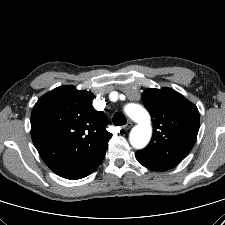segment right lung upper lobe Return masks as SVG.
Returning <instances> with one entry per match:
<instances>
[{
    "mask_svg": "<svg viewBox=\"0 0 225 225\" xmlns=\"http://www.w3.org/2000/svg\"><path fill=\"white\" fill-rule=\"evenodd\" d=\"M94 95L60 86L40 97L31 115V136L41 158L57 175L81 179L102 162L112 133L92 106Z\"/></svg>",
    "mask_w": 225,
    "mask_h": 225,
    "instance_id": "cb5924a9",
    "label": "right lung upper lobe"
}]
</instances>
